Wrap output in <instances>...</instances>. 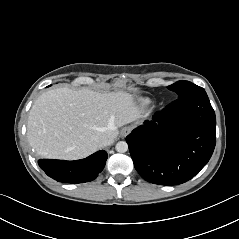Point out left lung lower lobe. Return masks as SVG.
Segmentation results:
<instances>
[{
  "mask_svg": "<svg viewBox=\"0 0 239 239\" xmlns=\"http://www.w3.org/2000/svg\"><path fill=\"white\" fill-rule=\"evenodd\" d=\"M138 173L159 185L182 184L209 161L216 118L205 90L178 98L127 137Z\"/></svg>",
  "mask_w": 239,
  "mask_h": 239,
  "instance_id": "0a47b994",
  "label": "left lung lower lobe"
}]
</instances>
